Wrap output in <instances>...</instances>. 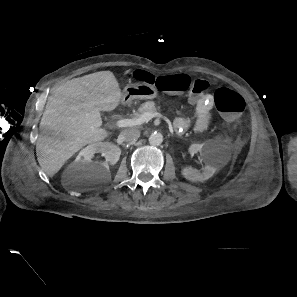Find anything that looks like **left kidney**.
Segmentation results:
<instances>
[{"instance_id":"left-kidney-1","label":"left kidney","mask_w":297,"mask_h":297,"mask_svg":"<svg viewBox=\"0 0 297 297\" xmlns=\"http://www.w3.org/2000/svg\"><path fill=\"white\" fill-rule=\"evenodd\" d=\"M189 151L191 153L199 152L200 156L206 163L203 168V172H200L192 167H185L181 170V175L191 182H203L208 180L224 163L210 143L204 142L202 144H192Z\"/></svg>"}]
</instances>
